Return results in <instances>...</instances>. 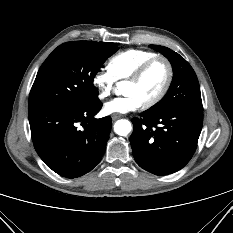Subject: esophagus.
Here are the masks:
<instances>
[{
    "label": "esophagus",
    "mask_w": 233,
    "mask_h": 233,
    "mask_svg": "<svg viewBox=\"0 0 233 233\" xmlns=\"http://www.w3.org/2000/svg\"><path fill=\"white\" fill-rule=\"evenodd\" d=\"M121 117V115L120 114H112L111 115V118H112V120H117L118 118H120Z\"/></svg>",
    "instance_id": "obj_1"
}]
</instances>
